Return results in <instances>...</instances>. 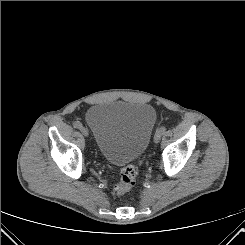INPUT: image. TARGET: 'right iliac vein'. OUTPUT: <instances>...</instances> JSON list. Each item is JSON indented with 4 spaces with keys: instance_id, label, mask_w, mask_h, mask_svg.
<instances>
[{
    "instance_id": "obj_1",
    "label": "right iliac vein",
    "mask_w": 245,
    "mask_h": 245,
    "mask_svg": "<svg viewBox=\"0 0 245 245\" xmlns=\"http://www.w3.org/2000/svg\"><path fill=\"white\" fill-rule=\"evenodd\" d=\"M80 131L86 137L89 135V132H88V130L85 127H81Z\"/></svg>"
}]
</instances>
